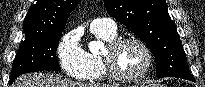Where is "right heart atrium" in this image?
<instances>
[{
  "mask_svg": "<svg viewBox=\"0 0 205 87\" xmlns=\"http://www.w3.org/2000/svg\"><path fill=\"white\" fill-rule=\"evenodd\" d=\"M61 68L72 78L82 77L88 70L87 53L79 44L74 32L64 34L56 47Z\"/></svg>",
  "mask_w": 205,
  "mask_h": 87,
  "instance_id": "d8ad5b80",
  "label": "right heart atrium"
}]
</instances>
